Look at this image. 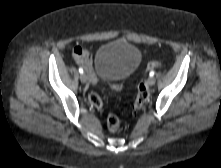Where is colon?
Here are the masks:
<instances>
[{
  "label": "colon",
  "instance_id": "1",
  "mask_svg": "<svg viewBox=\"0 0 221 168\" xmlns=\"http://www.w3.org/2000/svg\"><path fill=\"white\" fill-rule=\"evenodd\" d=\"M160 66H161V62L151 61L147 64V69L152 70ZM111 88L113 91L119 92L122 89V85L113 84ZM148 98H149V93H148L147 84L145 81H141L138 85V93H137V96L133 105V110H132L133 114H137L142 109L144 104L147 102ZM89 100L93 107H95L97 110H102L103 102H102L101 97L98 94L96 93L91 94L89 97ZM107 126H108V129L112 132H115L120 128V121L115 114L108 115Z\"/></svg>",
  "mask_w": 221,
  "mask_h": 168
}]
</instances>
